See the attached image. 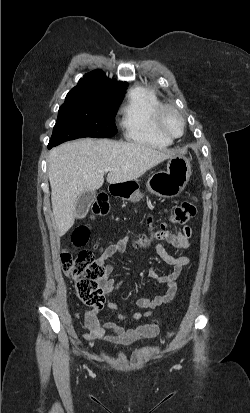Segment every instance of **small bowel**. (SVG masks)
<instances>
[{"label": "small bowel", "instance_id": "obj_1", "mask_svg": "<svg viewBox=\"0 0 250 413\" xmlns=\"http://www.w3.org/2000/svg\"><path fill=\"white\" fill-rule=\"evenodd\" d=\"M147 233L149 237H154V228L148 227ZM157 235L159 242L155 246V251L166 264L173 267V270L167 274H159L155 266H150L147 270V275L156 282L166 285L167 289L164 294L157 295L154 298H138L135 301V305L139 311L132 314L121 313L116 303L109 299V297L118 290L121 282H116L110 278L113 266L107 263V260L112 256L123 253L128 238L125 237L117 243L109 245L97 259V263L105 268V274L99 281L103 292V304L122 321H135L146 317H153L152 321L129 329L113 322L101 324L98 319L100 308H90L84 312V327L88 332L83 334V338L86 341H105L115 346L127 347L143 339L153 338L158 334L159 320L153 316V310L161 305L168 304L177 294L176 280L183 268L191 262L190 258L182 253V250L191 247L190 238L192 236V228L190 226H184L181 229L172 231L159 229ZM162 241L174 247L177 254H170L164 247Z\"/></svg>", "mask_w": 250, "mask_h": 413}]
</instances>
